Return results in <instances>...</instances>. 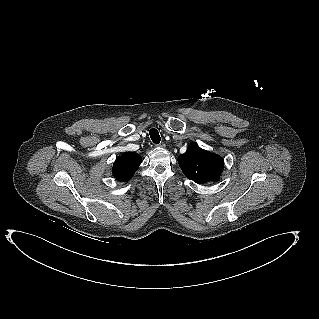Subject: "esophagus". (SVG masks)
Here are the masks:
<instances>
[{
  "mask_svg": "<svg viewBox=\"0 0 319 319\" xmlns=\"http://www.w3.org/2000/svg\"><path fill=\"white\" fill-rule=\"evenodd\" d=\"M155 146L159 147V148H164L165 144L162 142V143H159V144H155Z\"/></svg>",
  "mask_w": 319,
  "mask_h": 319,
  "instance_id": "1",
  "label": "esophagus"
}]
</instances>
